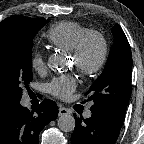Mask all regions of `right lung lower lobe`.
I'll return each instance as SVG.
<instances>
[{
	"mask_svg": "<svg viewBox=\"0 0 144 144\" xmlns=\"http://www.w3.org/2000/svg\"><path fill=\"white\" fill-rule=\"evenodd\" d=\"M57 115L58 107L49 99L43 100L35 112L17 103L0 119V144H38L40 131Z\"/></svg>",
	"mask_w": 144,
	"mask_h": 144,
	"instance_id": "obj_1",
	"label": "right lung lower lobe"
}]
</instances>
